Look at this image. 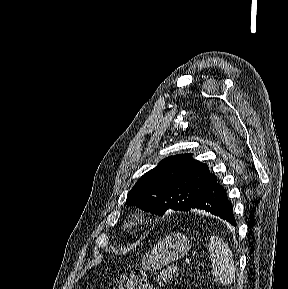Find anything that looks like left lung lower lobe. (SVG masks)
Listing matches in <instances>:
<instances>
[{"instance_id": "left-lung-lower-lobe-1", "label": "left lung lower lobe", "mask_w": 288, "mask_h": 289, "mask_svg": "<svg viewBox=\"0 0 288 289\" xmlns=\"http://www.w3.org/2000/svg\"><path fill=\"white\" fill-rule=\"evenodd\" d=\"M191 209L210 212L236 226L232 204L227 198L226 190L218 182L204 192L196 200Z\"/></svg>"}]
</instances>
